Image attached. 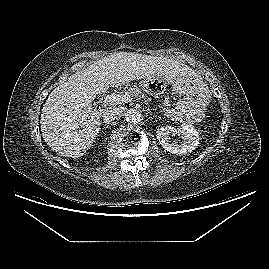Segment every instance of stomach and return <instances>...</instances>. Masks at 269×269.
<instances>
[{"label": "stomach", "mask_w": 269, "mask_h": 269, "mask_svg": "<svg viewBox=\"0 0 269 269\" xmlns=\"http://www.w3.org/2000/svg\"><path fill=\"white\" fill-rule=\"evenodd\" d=\"M167 83L172 84L173 90L179 96L175 102L176 114L185 121H197L210 103L211 92L207 85L200 78L190 76L173 82L148 77L141 82V86L146 92L154 94L163 90Z\"/></svg>", "instance_id": "0dacf381"}]
</instances>
